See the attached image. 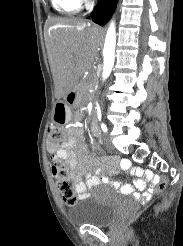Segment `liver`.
<instances>
[{
  "label": "liver",
  "instance_id": "liver-1",
  "mask_svg": "<svg viewBox=\"0 0 183 246\" xmlns=\"http://www.w3.org/2000/svg\"><path fill=\"white\" fill-rule=\"evenodd\" d=\"M100 40V29L85 21L60 17L48 19L46 48L57 99L65 96L91 67Z\"/></svg>",
  "mask_w": 183,
  "mask_h": 246
}]
</instances>
